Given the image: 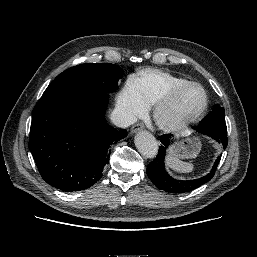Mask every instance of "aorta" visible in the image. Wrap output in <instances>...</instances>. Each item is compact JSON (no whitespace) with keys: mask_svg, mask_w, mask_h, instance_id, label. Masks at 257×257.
<instances>
[{"mask_svg":"<svg viewBox=\"0 0 257 257\" xmlns=\"http://www.w3.org/2000/svg\"><path fill=\"white\" fill-rule=\"evenodd\" d=\"M137 150L146 158H154L158 153V144L155 137L148 131H140L135 136Z\"/></svg>","mask_w":257,"mask_h":257,"instance_id":"762f6f07","label":"aorta"}]
</instances>
